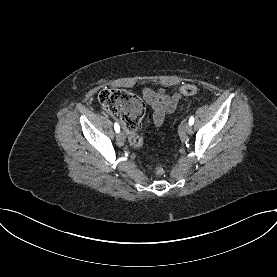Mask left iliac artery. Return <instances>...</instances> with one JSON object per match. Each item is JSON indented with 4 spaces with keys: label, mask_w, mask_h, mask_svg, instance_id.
Returning <instances> with one entry per match:
<instances>
[{
    "label": "left iliac artery",
    "mask_w": 277,
    "mask_h": 277,
    "mask_svg": "<svg viewBox=\"0 0 277 277\" xmlns=\"http://www.w3.org/2000/svg\"><path fill=\"white\" fill-rule=\"evenodd\" d=\"M194 123V117L191 116L190 119H189V124L192 125Z\"/></svg>",
    "instance_id": "left-iliac-artery-1"
}]
</instances>
